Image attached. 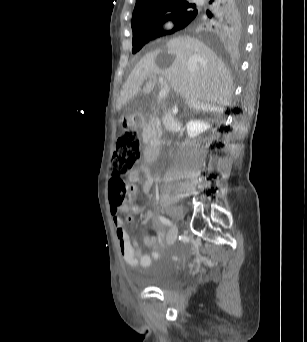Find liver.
Returning <instances> with one entry per match:
<instances>
[{
	"instance_id": "6515ba94",
	"label": "liver",
	"mask_w": 307,
	"mask_h": 342,
	"mask_svg": "<svg viewBox=\"0 0 307 342\" xmlns=\"http://www.w3.org/2000/svg\"><path fill=\"white\" fill-rule=\"evenodd\" d=\"M159 74L193 110L214 112L230 104L233 80L224 62L197 38L179 36L167 44H156V50L136 64L117 100L118 112L139 92L151 94ZM145 80L148 82L141 88Z\"/></svg>"
}]
</instances>
